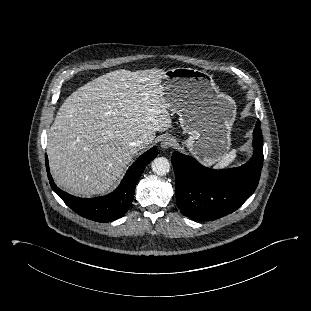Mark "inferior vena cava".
Masks as SVG:
<instances>
[{"mask_svg": "<svg viewBox=\"0 0 311 311\" xmlns=\"http://www.w3.org/2000/svg\"><path fill=\"white\" fill-rule=\"evenodd\" d=\"M147 142V139L146 138H139V139H136L134 141H132L130 143V145L132 147H141L142 145H144L145 143Z\"/></svg>", "mask_w": 311, "mask_h": 311, "instance_id": "602c4592", "label": "inferior vena cava"}]
</instances>
